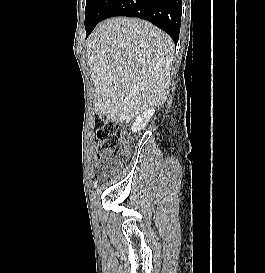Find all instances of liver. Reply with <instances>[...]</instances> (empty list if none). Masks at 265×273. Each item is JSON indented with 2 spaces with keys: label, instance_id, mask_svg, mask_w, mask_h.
I'll return each mask as SVG.
<instances>
[{
  "label": "liver",
  "instance_id": "obj_1",
  "mask_svg": "<svg viewBox=\"0 0 265 273\" xmlns=\"http://www.w3.org/2000/svg\"><path fill=\"white\" fill-rule=\"evenodd\" d=\"M173 52L172 39L147 21L115 17L100 23L87 43L96 113L128 123L163 105Z\"/></svg>",
  "mask_w": 265,
  "mask_h": 273
}]
</instances>
